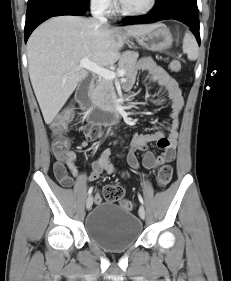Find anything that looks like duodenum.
Instances as JSON below:
<instances>
[{"instance_id":"1","label":"duodenum","mask_w":231,"mask_h":281,"mask_svg":"<svg viewBox=\"0 0 231 281\" xmlns=\"http://www.w3.org/2000/svg\"><path fill=\"white\" fill-rule=\"evenodd\" d=\"M91 82L83 81L78 85L76 99L87 112V120L96 126L108 125L117 122L122 115L123 105L113 104L103 110L91 108Z\"/></svg>"}]
</instances>
